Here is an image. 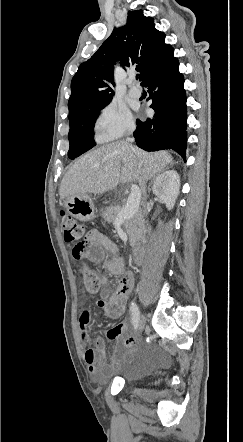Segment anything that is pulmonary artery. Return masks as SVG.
I'll return each mask as SVG.
<instances>
[{
  "instance_id": "obj_1",
  "label": "pulmonary artery",
  "mask_w": 243,
  "mask_h": 442,
  "mask_svg": "<svg viewBox=\"0 0 243 442\" xmlns=\"http://www.w3.org/2000/svg\"><path fill=\"white\" fill-rule=\"evenodd\" d=\"M134 84H135V82H134V79L132 78V79L130 80L131 88H130L129 94H130V96L133 97V98H140L141 95H142V92H141V90H140L137 86H135Z\"/></svg>"
}]
</instances>
